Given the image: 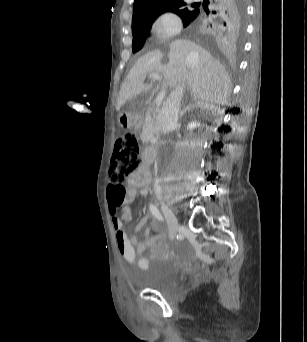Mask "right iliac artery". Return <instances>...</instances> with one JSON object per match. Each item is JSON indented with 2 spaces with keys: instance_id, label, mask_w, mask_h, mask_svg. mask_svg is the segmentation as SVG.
<instances>
[{
  "instance_id": "1",
  "label": "right iliac artery",
  "mask_w": 307,
  "mask_h": 342,
  "mask_svg": "<svg viewBox=\"0 0 307 342\" xmlns=\"http://www.w3.org/2000/svg\"><path fill=\"white\" fill-rule=\"evenodd\" d=\"M151 213L160 221H164V217L161 215L157 207L153 204L150 205Z\"/></svg>"
}]
</instances>
